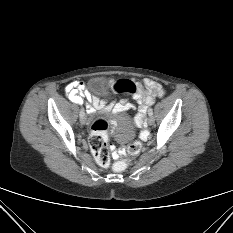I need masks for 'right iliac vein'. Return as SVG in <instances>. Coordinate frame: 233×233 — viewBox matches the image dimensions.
Here are the masks:
<instances>
[{"label": "right iliac vein", "mask_w": 233, "mask_h": 233, "mask_svg": "<svg viewBox=\"0 0 233 233\" xmlns=\"http://www.w3.org/2000/svg\"><path fill=\"white\" fill-rule=\"evenodd\" d=\"M80 121H81L82 124H86L87 119L85 117V114L82 117H80Z\"/></svg>", "instance_id": "1"}]
</instances>
